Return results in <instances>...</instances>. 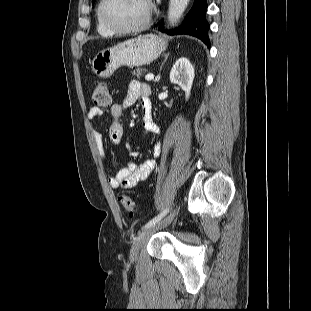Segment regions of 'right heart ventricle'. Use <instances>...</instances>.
Returning <instances> with one entry per match:
<instances>
[{
    "label": "right heart ventricle",
    "instance_id": "right-heart-ventricle-1",
    "mask_svg": "<svg viewBox=\"0 0 311 311\" xmlns=\"http://www.w3.org/2000/svg\"><path fill=\"white\" fill-rule=\"evenodd\" d=\"M100 4V2H99ZM99 4L96 9V30L101 36H111L114 34L110 29H108L101 21L99 14H98V8Z\"/></svg>",
    "mask_w": 311,
    "mask_h": 311
}]
</instances>
